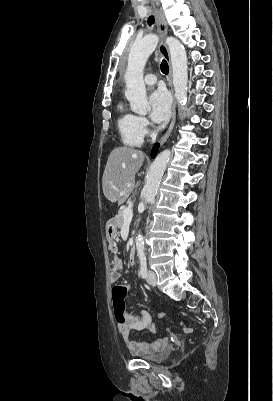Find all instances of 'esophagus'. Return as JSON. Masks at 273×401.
I'll list each match as a JSON object with an SVG mask.
<instances>
[{
	"instance_id": "34e87169",
	"label": "esophagus",
	"mask_w": 273,
	"mask_h": 401,
	"mask_svg": "<svg viewBox=\"0 0 273 401\" xmlns=\"http://www.w3.org/2000/svg\"><path fill=\"white\" fill-rule=\"evenodd\" d=\"M157 19H158V33L160 36V41H159V46L158 50L159 53L165 58V60L168 62L169 65V74H168V85H169V90L172 94L173 97V106H172V116H171V122L169 125V128L167 131L164 133L160 140V145H163L166 140L169 138V135H171V132L173 130L175 120H176V101L174 98V93H173V87H172V68H171V60H170V55H169V50L167 48V45L165 43L166 37H167V23L166 20L161 12L157 10Z\"/></svg>"
}]
</instances>
